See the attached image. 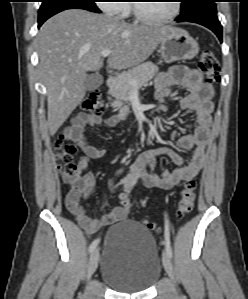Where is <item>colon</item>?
<instances>
[{"mask_svg": "<svg viewBox=\"0 0 248 299\" xmlns=\"http://www.w3.org/2000/svg\"><path fill=\"white\" fill-rule=\"evenodd\" d=\"M199 68L205 75L206 82L216 83L220 80L221 71L218 60L211 50H203L199 58ZM81 109L84 112L101 115L104 110L101 101V95L98 91H92L84 99L81 104ZM80 145L78 140H67V135H60L54 143L56 156L59 160L58 169L62 176L63 182L68 186L66 193L67 208L74 214L83 212L80 200L83 193V182L79 177V167L75 162V155ZM197 191V182L195 179L186 181L176 209L178 219L185 218L193 209ZM131 206L129 199L122 202V214L126 215ZM145 226L148 229H155L156 225L153 222L145 221Z\"/></svg>", "mask_w": 248, "mask_h": 299, "instance_id": "colon-1", "label": "colon"}]
</instances>
